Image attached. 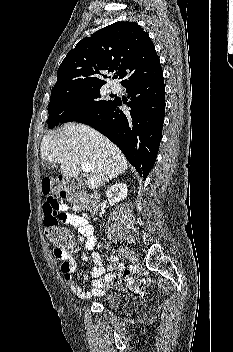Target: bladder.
<instances>
[{
    "label": "bladder",
    "instance_id": "31cf9c89",
    "mask_svg": "<svg viewBox=\"0 0 233 352\" xmlns=\"http://www.w3.org/2000/svg\"><path fill=\"white\" fill-rule=\"evenodd\" d=\"M121 301V297L116 293H109L104 298V304L110 309H116Z\"/></svg>",
    "mask_w": 233,
    "mask_h": 352
}]
</instances>
